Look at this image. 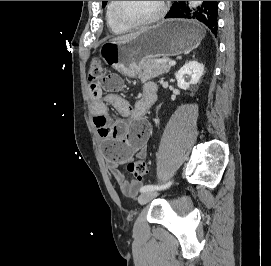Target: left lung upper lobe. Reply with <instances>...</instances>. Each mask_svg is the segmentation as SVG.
Instances as JSON below:
<instances>
[{
	"instance_id": "1",
	"label": "left lung upper lobe",
	"mask_w": 271,
	"mask_h": 266,
	"mask_svg": "<svg viewBox=\"0 0 271 266\" xmlns=\"http://www.w3.org/2000/svg\"><path fill=\"white\" fill-rule=\"evenodd\" d=\"M107 3V1H102L103 6Z\"/></svg>"
}]
</instances>
